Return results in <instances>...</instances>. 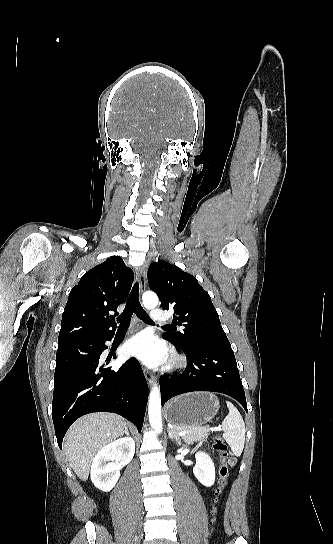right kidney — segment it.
<instances>
[{
  "label": "right kidney",
  "instance_id": "1",
  "mask_svg": "<svg viewBox=\"0 0 333 544\" xmlns=\"http://www.w3.org/2000/svg\"><path fill=\"white\" fill-rule=\"evenodd\" d=\"M135 453V441L125 437L102 447L91 465V480L101 491H110L120 477V470L128 464Z\"/></svg>",
  "mask_w": 333,
  "mask_h": 544
}]
</instances>
